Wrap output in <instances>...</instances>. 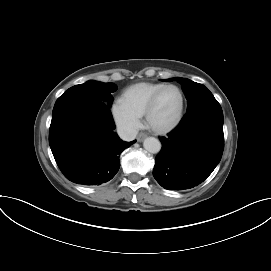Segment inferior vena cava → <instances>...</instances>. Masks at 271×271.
<instances>
[{
	"mask_svg": "<svg viewBox=\"0 0 271 271\" xmlns=\"http://www.w3.org/2000/svg\"><path fill=\"white\" fill-rule=\"evenodd\" d=\"M119 137L124 141H132L136 138L137 130L130 127H119L117 129Z\"/></svg>",
	"mask_w": 271,
	"mask_h": 271,
	"instance_id": "1",
	"label": "inferior vena cava"
}]
</instances>
